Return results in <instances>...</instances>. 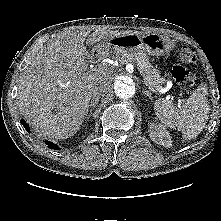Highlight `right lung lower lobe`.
I'll return each instance as SVG.
<instances>
[{
    "mask_svg": "<svg viewBox=\"0 0 221 221\" xmlns=\"http://www.w3.org/2000/svg\"><path fill=\"white\" fill-rule=\"evenodd\" d=\"M21 124L24 126V128L29 131V126L27 125V123L24 120H21ZM50 148L52 149H59L57 145H55L52 142H46Z\"/></svg>",
    "mask_w": 221,
    "mask_h": 221,
    "instance_id": "obj_1",
    "label": "right lung lower lobe"
}]
</instances>
